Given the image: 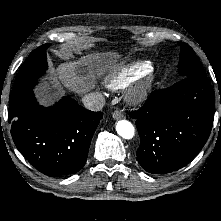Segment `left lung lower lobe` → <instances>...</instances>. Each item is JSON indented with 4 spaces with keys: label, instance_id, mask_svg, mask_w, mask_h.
Returning a JSON list of instances; mask_svg holds the SVG:
<instances>
[{
    "label": "left lung lower lobe",
    "instance_id": "left-lung-lower-lobe-1",
    "mask_svg": "<svg viewBox=\"0 0 221 221\" xmlns=\"http://www.w3.org/2000/svg\"><path fill=\"white\" fill-rule=\"evenodd\" d=\"M214 105L215 93L207 77H184L154 91L143 107L130 114L140 135V165L152 174L184 167L209 137Z\"/></svg>",
    "mask_w": 221,
    "mask_h": 221
}]
</instances>
